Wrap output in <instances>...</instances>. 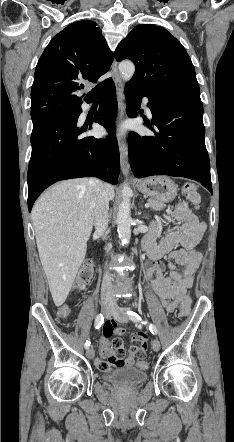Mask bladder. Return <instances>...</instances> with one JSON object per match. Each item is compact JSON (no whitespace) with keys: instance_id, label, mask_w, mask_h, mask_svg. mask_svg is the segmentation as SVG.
Returning <instances> with one entry per match:
<instances>
[{"instance_id":"obj_1","label":"bladder","mask_w":234,"mask_h":442,"mask_svg":"<svg viewBox=\"0 0 234 442\" xmlns=\"http://www.w3.org/2000/svg\"><path fill=\"white\" fill-rule=\"evenodd\" d=\"M105 380L119 386H136L146 381L147 372L145 368L134 366H123L116 368L104 376Z\"/></svg>"}]
</instances>
